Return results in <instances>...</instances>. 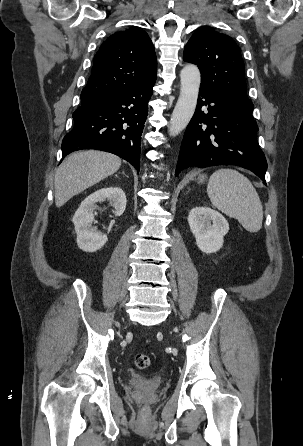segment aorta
I'll return each instance as SVG.
<instances>
[{
    "label": "aorta",
    "mask_w": 303,
    "mask_h": 446,
    "mask_svg": "<svg viewBox=\"0 0 303 446\" xmlns=\"http://www.w3.org/2000/svg\"><path fill=\"white\" fill-rule=\"evenodd\" d=\"M180 95L170 119L169 135L181 133L190 122L197 105L201 75L196 65H186L180 73Z\"/></svg>",
    "instance_id": "obj_1"
}]
</instances>
